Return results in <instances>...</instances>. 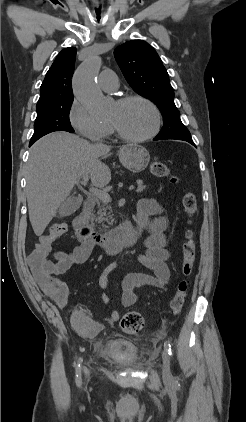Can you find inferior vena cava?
<instances>
[{
  "mask_svg": "<svg viewBox=\"0 0 246 422\" xmlns=\"http://www.w3.org/2000/svg\"><path fill=\"white\" fill-rule=\"evenodd\" d=\"M97 145L101 146L102 144H101V143H99V144H97Z\"/></svg>",
  "mask_w": 246,
  "mask_h": 422,
  "instance_id": "602c4592",
  "label": "inferior vena cava"
}]
</instances>
